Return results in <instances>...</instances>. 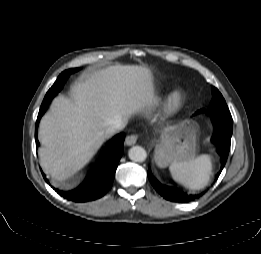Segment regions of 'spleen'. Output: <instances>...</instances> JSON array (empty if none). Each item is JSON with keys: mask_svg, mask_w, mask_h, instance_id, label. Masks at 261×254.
Here are the masks:
<instances>
[{"mask_svg": "<svg viewBox=\"0 0 261 254\" xmlns=\"http://www.w3.org/2000/svg\"><path fill=\"white\" fill-rule=\"evenodd\" d=\"M169 170L174 180L191 190H199L210 180L212 162L210 156L200 155L183 162H173Z\"/></svg>", "mask_w": 261, "mask_h": 254, "instance_id": "spleen-1", "label": "spleen"}]
</instances>
